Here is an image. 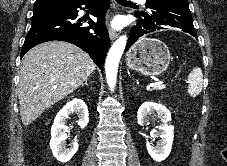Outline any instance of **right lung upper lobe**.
Wrapping results in <instances>:
<instances>
[{
	"label": "right lung upper lobe",
	"mask_w": 227,
	"mask_h": 166,
	"mask_svg": "<svg viewBox=\"0 0 227 166\" xmlns=\"http://www.w3.org/2000/svg\"><path fill=\"white\" fill-rule=\"evenodd\" d=\"M83 0H36L34 6L37 5H72Z\"/></svg>",
	"instance_id": "obj_1"
}]
</instances>
